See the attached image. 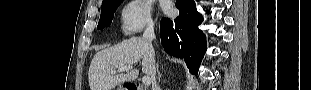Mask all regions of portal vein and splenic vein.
<instances>
[{
	"label": "portal vein and splenic vein",
	"mask_w": 311,
	"mask_h": 90,
	"mask_svg": "<svg viewBox=\"0 0 311 90\" xmlns=\"http://www.w3.org/2000/svg\"><path fill=\"white\" fill-rule=\"evenodd\" d=\"M133 68V66L131 65H128V66H124V67H121L117 70H113L112 73H116V72H123V71H129ZM142 83L145 85V86H149L151 84V78L149 76H144L142 78Z\"/></svg>",
	"instance_id": "portal-vein-and-splenic-vein-1"
}]
</instances>
